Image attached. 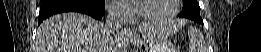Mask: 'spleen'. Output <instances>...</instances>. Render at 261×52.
<instances>
[{"mask_svg": "<svg viewBox=\"0 0 261 52\" xmlns=\"http://www.w3.org/2000/svg\"><path fill=\"white\" fill-rule=\"evenodd\" d=\"M188 35L190 37V40L192 41V38L195 36V35H199L201 36V33L198 31V29H196L195 27H190L189 30H188Z\"/></svg>", "mask_w": 261, "mask_h": 52, "instance_id": "spleen-1", "label": "spleen"}]
</instances>
